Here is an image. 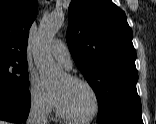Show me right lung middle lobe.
<instances>
[{
	"label": "right lung middle lobe",
	"instance_id": "dd1d6c3e",
	"mask_svg": "<svg viewBox=\"0 0 156 124\" xmlns=\"http://www.w3.org/2000/svg\"><path fill=\"white\" fill-rule=\"evenodd\" d=\"M27 69V62H0V88L12 92L28 93Z\"/></svg>",
	"mask_w": 156,
	"mask_h": 124
}]
</instances>
